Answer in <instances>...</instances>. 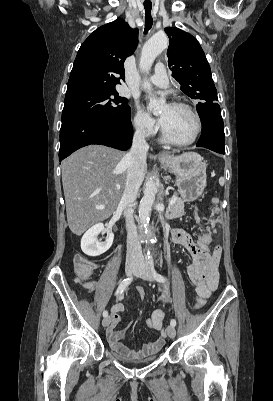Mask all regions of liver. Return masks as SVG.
<instances>
[{"instance_id":"obj_1","label":"liver","mask_w":273,"mask_h":401,"mask_svg":"<svg viewBox=\"0 0 273 401\" xmlns=\"http://www.w3.org/2000/svg\"><path fill=\"white\" fill-rule=\"evenodd\" d=\"M61 166L69 229L82 235L117 209L127 180L125 152L89 144L70 154ZM97 205L105 209H96Z\"/></svg>"}]
</instances>
